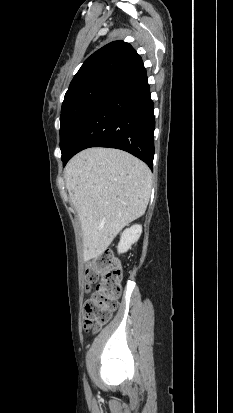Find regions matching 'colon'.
Listing matches in <instances>:
<instances>
[{"label": "colon", "mask_w": 233, "mask_h": 413, "mask_svg": "<svg viewBox=\"0 0 233 413\" xmlns=\"http://www.w3.org/2000/svg\"><path fill=\"white\" fill-rule=\"evenodd\" d=\"M121 276L120 262L109 251L87 264L86 282L88 285L96 284V288L84 306L85 331H98L110 320L121 294Z\"/></svg>", "instance_id": "obj_1"}]
</instances>
